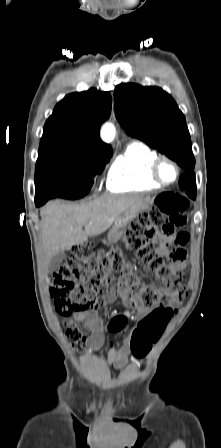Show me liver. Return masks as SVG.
I'll use <instances>...</instances> for the list:
<instances>
[{"label": "liver", "mask_w": 221, "mask_h": 448, "mask_svg": "<svg viewBox=\"0 0 221 448\" xmlns=\"http://www.w3.org/2000/svg\"><path fill=\"white\" fill-rule=\"evenodd\" d=\"M144 202L150 199L139 195H104L81 205L48 203L40 211L46 264L60 251L104 233L121 214L139 208Z\"/></svg>", "instance_id": "liver-1"}]
</instances>
